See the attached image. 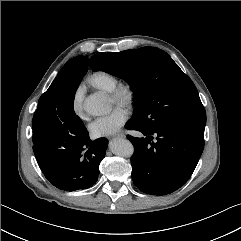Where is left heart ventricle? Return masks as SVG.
Returning a JSON list of instances; mask_svg holds the SVG:
<instances>
[{
  "instance_id": "1",
  "label": "left heart ventricle",
  "mask_w": 241,
  "mask_h": 241,
  "mask_svg": "<svg viewBox=\"0 0 241 241\" xmlns=\"http://www.w3.org/2000/svg\"><path fill=\"white\" fill-rule=\"evenodd\" d=\"M110 100H111V103H112V104H115V102H114L111 98H110Z\"/></svg>"
}]
</instances>
